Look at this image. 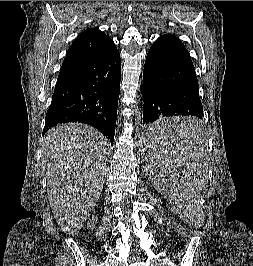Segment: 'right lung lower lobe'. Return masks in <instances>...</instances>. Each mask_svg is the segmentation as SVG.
Segmentation results:
<instances>
[{
	"mask_svg": "<svg viewBox=\"0 0 253 266\" xmlns=\"http://www.w3.org/2000/svg\"><path fill=\"white\" fill-rule=\"evenodd\" d=\"M117 48L106 57L58 76L43 134L65 122L97 128L113 145L120 90Z\"/></svg>",
	"mask_w": 253,
	"mask_h": 266,
	"instance_id": "obj_1",
	"label": "right lung lower lobe"
}]
</instances>
